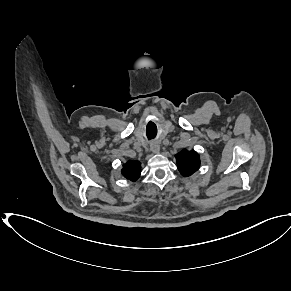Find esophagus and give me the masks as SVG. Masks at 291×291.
<instances>
[{"label": "esophagus", "instance_id": "1", "mask_svg": "<svg viewBox=\"0 0 291 291\" xmlns=\"http://www.w3.org/2000/svg\"><path fill=\"white\" fill-rule=\"evenodd\" d=\"M150 149H151V151L153 152V153H159V151H160V145H159V143L158 142H152L151 144H150Z\"/></svg>", "mask_w": 291, "mask_h": 291}]
</instances>
